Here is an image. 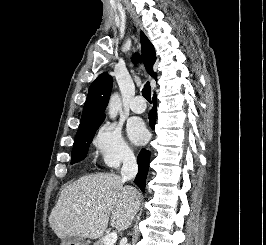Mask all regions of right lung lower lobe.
Returning <instances> with one entry per match:
<instances>
[{"label": "right lung lower lobe", "instance_id": "98d812e1", "mask_svg": "<svg viewBox=\"0 0 266 245\" xmlns=\"http://www.w3.org/2000/svg\"><path fill=\"white\" fill-rule=\"evenodd\" d=\"M153 109L150 112L149 119H150V126L153 128L156 120V96L153 97ZM149 159H150V152L148 150L142 149L138 155V167L139 171L135 178L136 185L144 192L145 190V183H146V176L149 167Z\"/></svg>", "mask_w": 266, "mask_h": 245}]
</instances>
